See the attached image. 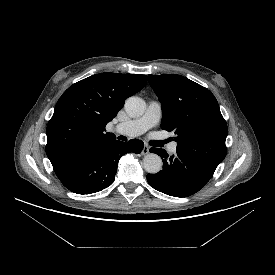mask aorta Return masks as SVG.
Segmentation results:
<instances>
[{"label":"aorta","mask_w":275,"mask_h":275,"mask_svg":"<svg viewBox=\"0 0 275 275\" xmlns=\"http://www.w3.org/2000/svg\"><path fill=\"white\" fill-rule=\"evenodd\" d=\"M125 110L130 117H139L146 110V103L139 97H129L125 102ZM162 159L159 155L150 153L143 159L144 169L151 174H156L162 169Z\"/></svg>","instance_id":"obj_1"}]
</instances>
